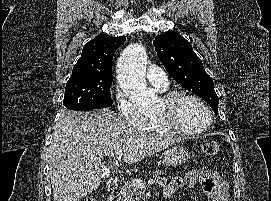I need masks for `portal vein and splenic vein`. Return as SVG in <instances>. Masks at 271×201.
<instances>
[{"label":"portal vein and splenic vein","instance_id":"portal-vein-and-splenic-vein-1","mask_svg":"<svg viewBox=\"0 0 271 201\" xmlns=\"http://www.w3.org/2000/svg\"><path fill=\"white\" fill-rule=\"evenodd\" d=\"M122 152V148L121 147H118L115 151H114V154H110V156H115L116 158H118L120 156ZM148 184H154L155 183V180L154 179H150L148 180L147 182ZM132 184L134 186H136L137 188H145L146 186V182L142 181V180H139V179H132Z\"/></svg>","mask_w":271,"mask_h":201}]
</instances>
